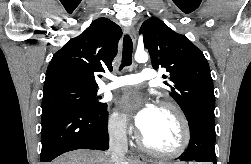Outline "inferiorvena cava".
I'll list each match as a JSON object with an SVG mask.
<instances>
[{"label": "inferior vena cava", "instance_id": "1", "mask_svg": "<svg viewBox=\"0 0 251 164\" xmlns=\"http://www.w3.org/2000/svg\"><path fill=\"white\" fill-rule=\"evenodd\" d=\"M126 119H122L110 132V159L112 164H124L128 151Z\"/></svg>", "mask_w": 251, "mask_h": 164}]
</instances>
